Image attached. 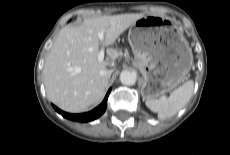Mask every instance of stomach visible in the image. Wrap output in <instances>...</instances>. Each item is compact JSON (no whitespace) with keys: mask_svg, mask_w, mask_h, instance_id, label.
Segmentation results:
<instances>
[{"mask_svg":"<svg viewBox=\"0 0 230 155\" xmlns=\"http://www.w3.org/2000/svg\"><path fill=\"white\" fill-rule=\"evenodd\" d=\"M128 41L134 64L143 75V99H158L186 79L193 55L182 30L173 21L144 16L132 24Z\"/></svg>","mask_w":230,"mask_h":155,"instance_id":"obj_1","label":"stomach"}]
</instances>
